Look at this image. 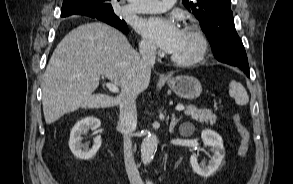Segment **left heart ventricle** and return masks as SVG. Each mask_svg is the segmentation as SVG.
Here are the masks:
<instances>
[{"mask_svg": "<svg viewBox=\"0 0 293 184\" xmlns=\"http://www.w3.org/2000/svg\"><path fill=\"white\" fill-rule=\"evenodd\" d=\"M199 48V42L196 36L187 31H183L181 41L172 53L177 58H190L196 54Z\"/></svg>", "mask_w": 293, "mask_h": 184, "instance_id": "left-heart-ventricle-1", "label": "left heart ventricle"}]
</instances>
